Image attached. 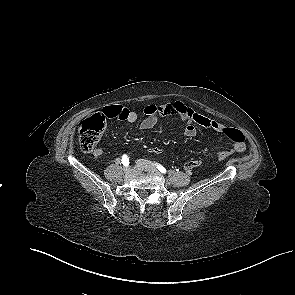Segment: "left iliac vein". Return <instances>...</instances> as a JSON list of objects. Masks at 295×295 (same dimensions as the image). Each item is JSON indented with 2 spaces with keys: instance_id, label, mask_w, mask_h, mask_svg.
Returning a JSON list of instances; mask_svg holds the SVG:
<instances>
[{
  "instance_id": "4c4485c4",
  "label": "left iliac vein",
  "mask_w": 295,
  "mask_h": 295,
  "mask_svg": "<svg viewBox=\"0 0 295 295\" xmlns=\"http://www.w3.org/2000/svg\"><path fill=\"white\" fill-rule=\"evenodd\" d=\"M136 164L138 166H148V167H151V168H156L154 164H152L151 162L145 160V159H138L136 161Z\"/></svg>"
}]
</instances>
